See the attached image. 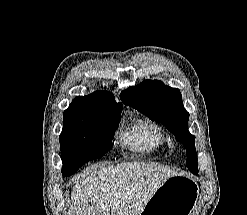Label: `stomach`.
Returning a JSON list of instances; mask_svg holds the SVG:
<instances>
[{
    "mask_svg": "<svg viewBox=\"0 0 247 215\" xmlns=\"http://www.w3.org/2000/svg\"><path fill=\"white\" fill-rule=\"evenodd\" d=\"M199 198L197 182L184 175L171 176L156 190L139 215H193Z\"/></svg>",
    "mask_w": 247,
    "mask_h": 215,
    "instance_id": "1",
    "label": "stomach"
}]
</instances>
